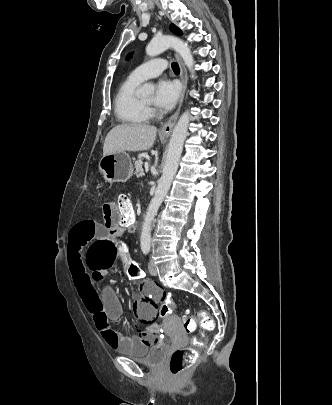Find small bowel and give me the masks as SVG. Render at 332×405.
Segmentation results:
<instances>
[{"instance_id":"small-bowel-1","label":"small bowel","mask_w":332,"mask_h":405,"mask_svg":"<svg viewBox=\"0 0 332 405\" xmlns=\"http://www.w3.org/2000/svg\"><path fill=\"white\" fill-rule=\"evenodd\" d=\"M109 200L102 206L103 224L79 221L72 226L67 248L69 271L103 340L111 348L121 349L122 353H151L152 349H158L161 340L156 334L160 322H155L154 315L159 313L158 301L167 296V289L152 288L154 284L145 280L140 289L134 290L137 299L132 303V310L140 319L141 328L137 330V335L128 337L111 326V320L117 319L122 310L118 296L103 283L101 275L89 271L86 264L88 249L93 241L116 240L126 229V223H120V209L114 208L115 197ZM98 290H101V295Z\"/></svg>"}]
</instances>
